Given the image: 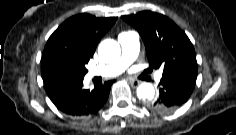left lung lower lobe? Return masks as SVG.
<instances>
[{"label":"left lung lower lobe","instance_id":"0a47b994","mask_svg":"<svg viewBox=\"0 0 236 135\" xmlns=\"http://www.w3.org/2000/svg\"><path fill=\"white\" fill-rule=\"evenodd\" d=\"M197 70L163 73L159 97L150 103V108L157 112H170L186 103L194 90Z\"/></svg>","mask_w":236,"mask_h":135}]
</instances>
